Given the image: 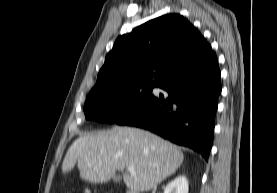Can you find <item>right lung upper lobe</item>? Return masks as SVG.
Listing matches in <instances>:
<instances>
[{
  "mask_svg": "<svg viewBox=\"0 0 277 193\" xmlns=\"http://www.w3.org/2000/svg\"><path fill=\"white\" fill-rule=\"evenodd\" d=\"M212 52L210 44L183 16L157 17L116 39L90 93L135 85L158 87Z\"/></svg>",
  "mask_w": 277,
  "mask_h": 193,
  "instance_id": "cb5924a9",
  "label": "right lung upper lobe"
}]
</instances>
